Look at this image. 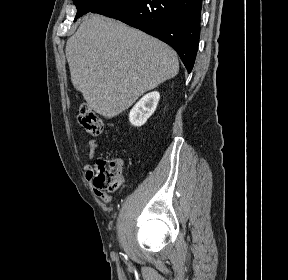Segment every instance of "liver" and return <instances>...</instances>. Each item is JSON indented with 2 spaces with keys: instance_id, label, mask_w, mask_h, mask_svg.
<instances>
[{
  "instance_id": "1",
  "label": "liver",
  "mask_w": 288,
  "mask_h": 280,
  "mask_svg": "<svg viewBox=\"0 0 288 280\" xmlns=\"http://www.w3.org/2000/svg\"><path fill=\"white\" fill-rule=\"evenodd\" d=\"M65 52L74 88L105 118L122 113L179 70L168 45L101 15L86 17Z\"/></svg>"
}]
</instances>
